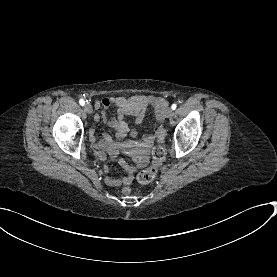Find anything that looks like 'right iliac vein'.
Listing matches in <instances>:
<instances>
[{
    "label": "right iliac vein",
    "instance_id": "1",
    "mask_svg": "<svg viewBox=\"0 0 277 277\" xmlns=\"http://www.w3.org/2000/svg\"><path fill=\"white\" fill-rule=\"evenodd\" d=\"M84 111L87 113V114H91L92 111H93V108L91 106V104L87 103L84 105Z\"/></svg>",
    "mask_w": 277,
    "mask_h": 277
}]
</instances>
